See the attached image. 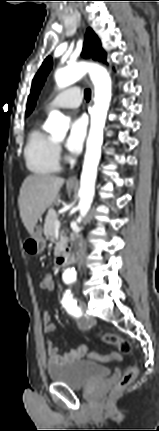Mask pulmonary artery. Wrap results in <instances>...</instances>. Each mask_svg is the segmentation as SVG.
I'll list each match as a JSON object with an SVG mask.
<instances>
[{
    "label": "pulmonary artery",
    "mask_w": 159,
    "mask_h": 431,
    "mask_svg": "<svg viewBox=\"0 0 159 431\" xmlns=\"http://www.w3.org/2000/svg\"><path fill=\"white\" fill-rule=\"evenodd\" d=\"M82 92L78 86H72L54 96L45 106L48 112L57 108H77L82 102Z\"/></svg>",
    "instance_id": "pulmonary-artery-1"
}]
</instances>
